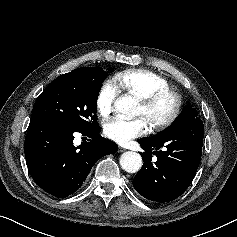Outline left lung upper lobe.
Returning <instances> with one entry per match:
<instances>
[{"mask_svg":"<svg viewBox=\"0 0 237 237\" xmlns=\"http://www.w3.org/2000/svg\"><path fill=\"white\" fill-rule=\"evenodd\" d=\"M197 110L195 108H192L190 106H185L183 110L181 111L180 115L177 117V119L172 123V125L165 129L164 131L151 136L146 137L148 140L152 141H158L163 138H166L170 135H172L174 132L182 128L184 125H186L189 121L193 120L197 117Z\"/></svg>","mask_w":237,"mask_h":237,"instance_id":"left-lung-upper-lobe-1","label":"left lung upper lobe"}]
</instances>
